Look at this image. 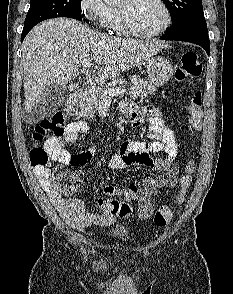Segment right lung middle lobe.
I'll return each mask as SVG.
<instances>
[{"instance_id":"1","label":"right lung middle lobe","mask_w":233,"mask_h":294,"mask_svg":"<svg viewBox=\"0 0 233 294\" xmlns=\"http://www.w3.org/2000/svg\"><path fill=\"white\" fill-rule=\"evenodd\" d=\"M24 28H32L37 23L57 17L82 20L81 0H30Z\"/></svg>"}]
</instances>
